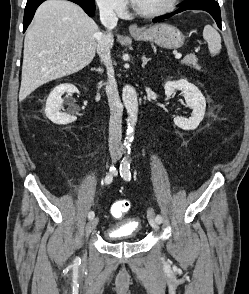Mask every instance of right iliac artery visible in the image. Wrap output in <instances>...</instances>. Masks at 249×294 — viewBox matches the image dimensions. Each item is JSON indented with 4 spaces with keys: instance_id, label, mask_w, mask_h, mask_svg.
I'll return each instance as SVG.
<instances>
[{
    "instance_id": "1",
    "label": "right iliac artery",
    "mask_w": 249,
    "mask_h": 294,
    "mask_svg": "<svg viewBox=\"0 0 249 294\" xmlns=\"http://www.w3.org/2000/svg\"><path fill=\"white\" fill-rule=\"evenodd\" d=\"M116 174H117V170H116L115 166L112 165L110 167L109 173L106 175V177L104 179L105 183L110 184L112 182V180H113V176L116 175ZM94 216H95V213L93 211H90L88 213V218L89 219H93ZM78 260H79V258H76V261H78Z\"/></svg>"
}]
</instances>
